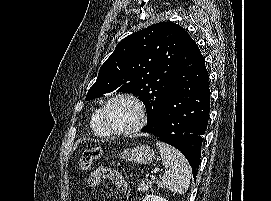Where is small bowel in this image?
Listing matches in <instances>:
<instances>
[{
    "label": "small bowel",
    "instance_id": "small-bowel-1",
    "mask_svg": "<svg viewBox=\"0 0 271 201\" xmlns=\"http://www.w3.org/2000/svg\"><path fill=\"white\" fill-rule=\"evenodd\" d=\"M110 179L114 184L116 189L121 192L125 193L128 190V182L123 177V175L111 168L108 167H99L96 169L88 178L87 185L90 188L97 187L102 180Z\"/></svg>",
    "mask_w": 271,
    "mask_h": 201
}]
</instances>
